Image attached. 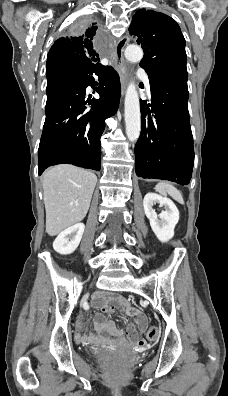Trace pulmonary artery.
<instances>
[{
  "label": "pulmonary artery",
  "instance_id": "1",
  "mask_svg": "<svg viewBox=\"0 0 228 396\" xmlns=\"http://www.w3.org/2000/svg\"><path fill=\"white\" fill-rule=\"evenodd\" d=\"M138 77L143 81L146 89L150 91V79L148 75L143 70H139Z\"/></svg>",
  "mask_w": 228,
  "mask_h": 396
}]
</instances>
